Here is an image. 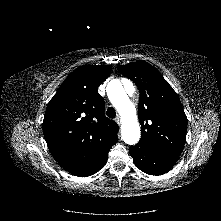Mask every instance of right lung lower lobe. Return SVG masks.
I'll list each match as a JSON object with an SVG mask.
<instances>
[{
  "label": "right lung lower lobe",
  "mask_w": 221,
  "mask_h": 221,
  "mask_svg": "<svg viewBox=\"0 0 221 221\" xmlns=\"http://www.w3.org/2000/svg\"><path fill=\"white\" fill-rule=\"evenodd\" d=\"M112 147V146H111ZM111 147L103 151L97 158H95L91 163L71 170L69 171L71 174L76 175V176H90L92 174H95L98 172L106 163L107 158H108V152L110 151Z\"/></svg>",
  "instance_id": "obj_1"
}]
</instances>
